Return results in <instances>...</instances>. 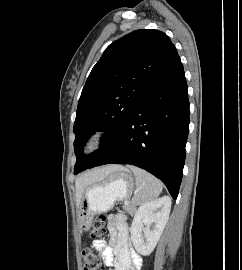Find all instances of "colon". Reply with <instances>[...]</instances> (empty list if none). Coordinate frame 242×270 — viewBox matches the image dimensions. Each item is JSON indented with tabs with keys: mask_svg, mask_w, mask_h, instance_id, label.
<instances>
[{
	"mask_svg": "<svg viewBox=\"0 0 242 270\" xmlns=\"http://www.w3.org/2000/svg\"><path fill=\"white\" fill-rule=\"evenodd\" d=\"M106 216L98 215L93 221L91 232L92 238H102L106 235ZM85 270H105L104 265L101 263L99 256L92 249L87 248L83 251Z\"/></svg>",
	"mask_w": 242,
	"mask_h": 270,
	"instance_id": "colon-1",
	"label": "colon"
}]
</instances>
